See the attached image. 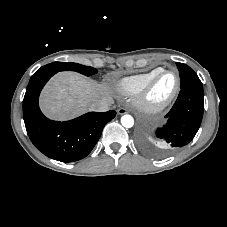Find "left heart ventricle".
Wrapping results in <instances>:
<instances>
[{"label":"left heart ventricle","instance_id":"b2bd125f","mask_svg":"<svg viewBox=\"0 0 227 227\" xmlns=\"http://www.w3.org/2000/svg\"><path fill=\"white\" fill-rule=\"evenodd\" d=\"M175 85V76L172 73H166L158 80L153 88L150 98L153 101L165 99L173 90Z\"/></svg>","mask_w":227,"mask_h":227}]
</instances>
